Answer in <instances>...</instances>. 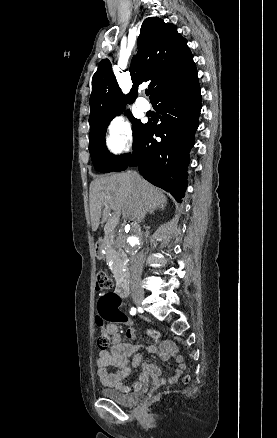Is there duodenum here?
<instances>
[{
  "label": "duodenum",
  "instance_id": "obj_1",
  "mask_svg": "<svg viewBox=\"0 0 277 438\" xmlns=\"http://www.w3.org/2000/svg\"><path fill=\"white\" fill-rule=\"evenodd\" d=\"M105 249V242L103 240H98L95 243L94 250L98 258L102 257L103 250ZM129 292V278L127 274H123L119 277L116 285V293L119 296L125 297Z\"/></svg>",
  "mask_w": 277,
  "mask_h": 438
}]
</instances>
